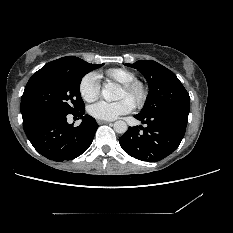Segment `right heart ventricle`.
Returning <instances> with one entry per match:
<instances>
[{
	"label": "right heart ventricle",
	"instance_id": "obj_1",
	"mask_svg": "<svg viewBox=\"0 0 233 233\" xmlns=\"http://www.w3.org/2000/svg\"><path fill=\"white\" fill-rule=\"evenodd\" d=\"M98 78H103L105 81H115L120 84L130 82L136 79V74L126 68H109L103 73L97 75Z\"/></svg>",
	"mask_w": 233,
	"mask_h": 233
}]
</instances>
